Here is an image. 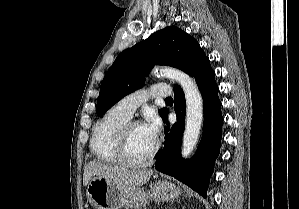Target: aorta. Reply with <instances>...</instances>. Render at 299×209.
<instances>
[{
	"label": "aorta",
	"mask_w": 299,
	"mask_h": 209,
	"mask_svg": "<svg viewBox=\"0 0 299 209\" xmlns=\"http://www.w3.org/2000/svg\"><path fill=\"white\" fill-rule=\"evenodd\" d=\"M154 74L176 81L182 87L186 99V124L181 155L188 158L200 135L203 123V99L196 82L186 73L175 68L155 69Z\"/></svg>",
	"instance_id": "aorta-1"
}]
</instances>
